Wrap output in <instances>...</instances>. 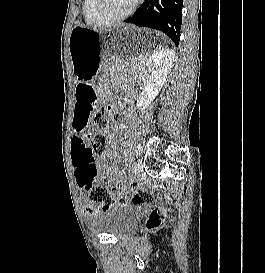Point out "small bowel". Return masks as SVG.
Masks as SVG:
<instances>
[{"label": "small bowel", "mask_w": 265, "mask_h": 273, "mask_svg": "<svg viewBox=\"0 0 265 273\" xmlns=\"http://www.w3.org/2000/svg\"><path fill=\"white\" fill-rule=\"evenodd\" d=\"M109 109L111 112H114V114H119L118 112H115L113 108L109 107ZM117 130L118 126L114 125L108 133L110 136H114ZM89 134L90 132L87 129L86 132H75L74 130L70 143L71 166L76 182L80 187L79 174L83 171L87 172L88 170L95 168L97 172L99 171L101 173L102 176H113L110 166L106 163V159L114 156V153L112 151H108L100 157L88 156L87 151ZM95 211L96 210L89 204H86L84 207V212L86 215H91L95 213Z\"/></svg>", "instance_id": "small-bowel-1"}]
</instances>
